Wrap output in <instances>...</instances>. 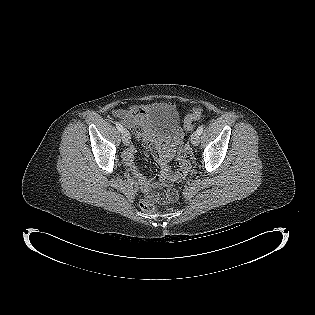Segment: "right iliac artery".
<instances>
[{"instance_id":"obj_1","label":"right iliac artery","mask_w":315,"mask_h":315,"mask_svg":"<svg viewBox=\"0 0 315 315\" xmlns=\"http://www.w3.org/2000/svg\"><path fill=\"white\" fill-rule=\"evenodd\" d=\"M116 127H117V129L120 131V132H123V130H124V128H123V126L120 124V123H116Z\"/></svg>"}]
</instances>
